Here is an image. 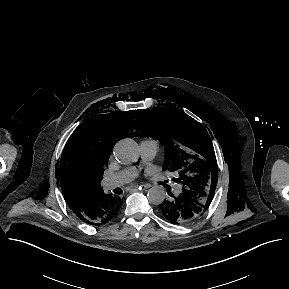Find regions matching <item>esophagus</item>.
Returning a JSON list of instances; mask_svg holds the SVG:
<instances>
[{
  "instance_id": "obj_1",
  "label": "esophagus",
  "mask_w": 289,
  "mask_h": 289,
  "mask_svg": "<svg viewBox=\"0 0 289 289\" xmlns=\"http://www.w3.org/2000/svg\"><path fill=\"white\" fill-rule=\"evenodd\" d=\"M151 187V185L150 184H143V185H141V186H134L133 188L134 189H148V188H150Z\"/></svg>"
}]
</instances>
